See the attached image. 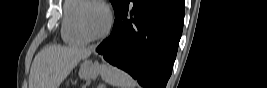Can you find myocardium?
Segmentation results:
<instances>
[{
    "label": "myocardium",
    "mask_w": 267,
    "mask_h": 88,
    "mask_svg": "<svg viewBox=\"0 0 267 88\" xmlns=\"http://www.w3.org/2000/svg\"><path fill=\"white\" fill-rule=\"evenodd\" d=\"M89 5L99 6V7L103 8L107 14V24H106L104 30L100 34L95 35V36L90 35L86 31L84 24H83V18H82L83 11ZM76 21H77L78 30H79L81 36L85 40H87V42L98 41V40L105 38L109 34V32L112 28V25H113V14H112L111 9L109 8V6L106 3L99 1V0H89L80 6L78 13H77Z\"/></svg>",
    "instance_id": "1"
}]
</instances>
